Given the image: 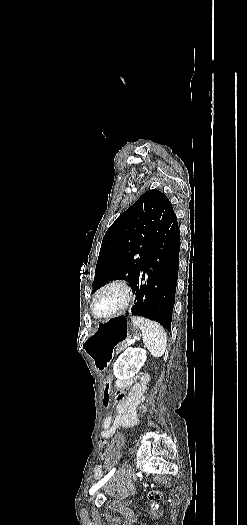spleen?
<instances>
[{"label":"spleen","mask_w":247,"mask_h":525,"mask_svg":"<svg viewBox=\"0 0 247 525\" xmlns=\"http://www.w3.org/2000/svg\"><path fill=\"white\" fill-rule=\"evenodd\" d=\"M136 329H140L145 347L152 357H162L166 351V333L158 323L145 317H131Z\"/></svg>","instance_id":"1"}]
</instances>
